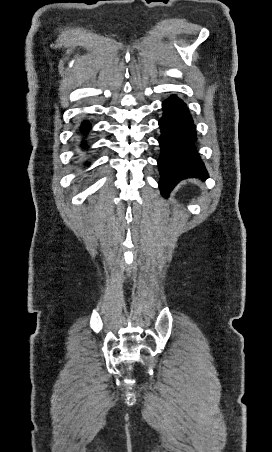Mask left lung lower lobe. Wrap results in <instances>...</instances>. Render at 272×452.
<instances>
[{"mask_svg": "<svg viewBox=\"0 0 272 452\" xmlns=\"http://www.w3.org/2000/svg\"><path fill=\"white\" fill-rule=\"evenodd\" d=\"M162 108L164 113L159 121L161 154L158 167L160 190L166 197L182 179L207 177L208 174L196 152V129L186 104L172 95L163 102Z\"/></svg>", "mask_w": 272, "mask_h": 452, "instance_id": "obj_1", "label": "left lung lower lobe"}]
</instances>
